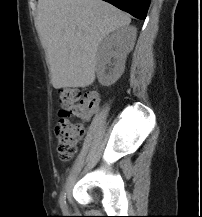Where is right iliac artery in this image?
Returning a JSON list of instances; mask_svg holds the SVG:
<instances>
[{
    "label": "right iliac artery",
    "instance_id": "obj_1",
    "mask_svg": "<svg viewBox=\"0 0 202 217\" xmlns=\"http://www.w3.org/2000/svg\"><path fill=\"white\" fill-rule=\"evenodd\" d=\"M59 203L63 211L67 210L65 189L61 192Z\"/></svg>",
    "mask_w": 202,
    "mask_h": 217
}]
</instances>
